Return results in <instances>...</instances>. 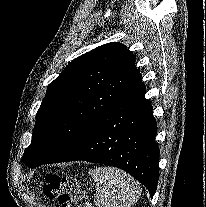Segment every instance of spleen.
<instances>
[{
  "instance_id": "spleen-1",
  "label": "spleen",
  "mask_w": 206,
  "mask_h": 207,
  "mask_svg": "<svg viewBox=\"0 0 206 207\" xmlns=\"http://www.w3.org/2000/svg\"><path fill=\"white\" fill-rule=\"evenodd\" d=\"M96 187L97 207H131L141 194L140 185L126 172L114 167L89 170Z\"/></svg>"
}]
</instances>
